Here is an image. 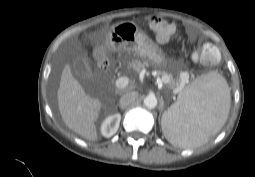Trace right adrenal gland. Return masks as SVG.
Listing matches in <instances>:
<instances>
[{"label": "right adrenal gland", "mask_w": 255, "mask_h": 177, "mask_svg": "<svg viewBox=\"0 0 255 177\" xmlns=\"http://www.w3.org/2000/svg\"><path fill=\"white\" fill-rule=\"evenodd\" d=\"M118 106L120 107L121 110H124V109H125L124 107H121L119 104H118Z\"/></svg>", "instance_id": "1"}]
</instances>
